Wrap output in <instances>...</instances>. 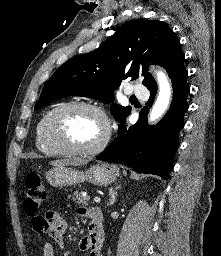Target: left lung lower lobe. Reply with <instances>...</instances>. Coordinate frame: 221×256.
Segmentation results:
<instances>
[{
	"instance_id": "1",
	"label": "left lung lower lobe",
	"mask_w": 221,
	"mask_h": 256,
	"mask_svg": "<svg viewBox=\"0 0 221 256\" xmlns=\"http://www.w3.org/2000/svg\"><path fill=\"white\" fill-rule=\"evenodd\" d=\"M188 73L185 68L172 75L173 100L170 110L157 124H147L148 110L143 108L137 123L129 128L121 124L118 137L97 158L104 161L126 163L138 173L156 174L168 179L173 158L179 147L178 134L184 126L183 115L188 110ZM149 106L156 95L157 85L148 88ZM125 122V121H124ZM123 122V123H124Z\"/></svg>"
}]
</instances>
